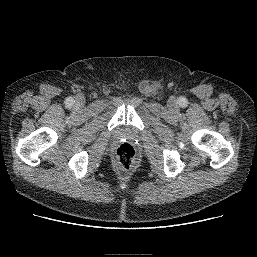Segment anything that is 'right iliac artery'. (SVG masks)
Returning <instances> with one entry per match:
<instances>
[{
    "mask_svg": "<svg viewBox=\"0 0 257 257\" xmlns=\"http://www.w3.org/2000/svg\"><path fill=\"white\" fill-rule=\"evenodd\" d=\"M66 104L71 106L73 104V99L71 97L66 99Z\"/></svg>",
    "mask_w": 257,
    "mask_h": 257,
    "instance_id": "1",
    "label": "right iliac artery"
}]
</instances>
